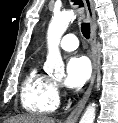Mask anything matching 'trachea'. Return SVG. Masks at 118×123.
Listing matches in <instances>:
<instances>
[{
  "label": "trachea",
  "mask_w": 118,
  "mask_h": 123,
  "mask_svg": "<svg viewBox=\"0 0 118 123\" xmlns=\"http://www.w3.org/2000/svg\"><path fill=\"white\" fill-rule=\"evenodd\" d=\"M73 3H74V5H77L80 8L83 7V1L82 0H73ZM81 31H82L83 36L86 39L90 38V24L89 23L82 22L81 23Z\"/></svg>",
  "instance_id": "3493384b"
}]
</instances>
